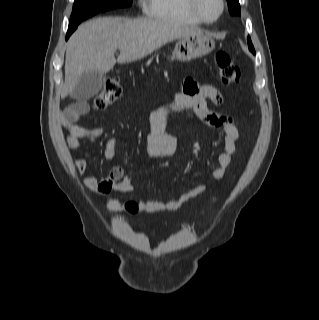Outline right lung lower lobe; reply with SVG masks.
Instances as JSON below:
<instances>
[{
	"label": "right lung lower lobe",
	"instance_id": "98d812e1",
	"mask_svg": "<svg viewBox=\"0 0 319 320\" xmlns=\"http://www.w3.org/2000/svg\"><path fill=\"white\" fill-rule=\"evenodd\" d=\"M73 31H74V30H73ZM73 31L68 30L67 35H66V39H68V38H69V36L72 34V32H73Z\"/></svg>",
	"mask_w": 319,
	"mask_h": 320
}]
</instances>
